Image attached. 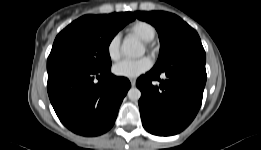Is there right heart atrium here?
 I'll use <instances>...</instances> for the list:
<instances>
[{"label":"right heart atrium","mask_w":261,"mask_h":150,"mask_svg":"<svg viewBox=\"0 0 261 150\" xmlns=\"http://www.w3.org/2000/svg\"><path fill=\"white\" fill-rule=\"evenodd\" d=\"M106 52L110 60L117 61L120 58V37L114 35L110 38L106 46Z\"/></svg>","instance_id":"d8ad5b80"}]
</instances>
